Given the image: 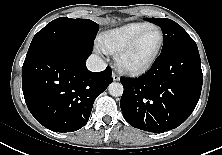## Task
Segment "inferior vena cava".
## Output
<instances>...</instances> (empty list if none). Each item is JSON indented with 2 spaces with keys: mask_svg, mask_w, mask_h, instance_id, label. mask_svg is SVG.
Listing matches in <instances>:
<instances>
[{
  "mask_svg": "<svg viewBox=\"0 0 222 155\" xmlns=\"http://www.w3.org/2000/svg\"><path fill=\"white\" fill-rule=\"evenodd\" d=\"M87 68L92 72H100L105 70L106 63L98 55H91L86 62Z\"/></svg>",
  "mask_w": 222,
  "mask_h": 155,
  "instance_id": "1",
  "label": "inferior vena cava"
}]
</instances>
